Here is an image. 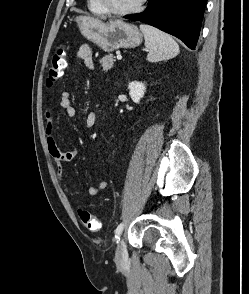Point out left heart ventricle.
Instances as JSON below:
<instances>
[{"instance_id":"b2bd125f","label":"left heart ventricle","mask_w":249,"mask_h":294,"mask_svg":"<svg viewBox=\"0 0 249 294\" xmlns=\"http://www.w3.org/2000/svg\"><path fill=\"white\" fill-rule=\"evenodd\" d=\"M138 0H103L104 4L115 10H122L133 6Z\"/></svg>"}]
</instances>
